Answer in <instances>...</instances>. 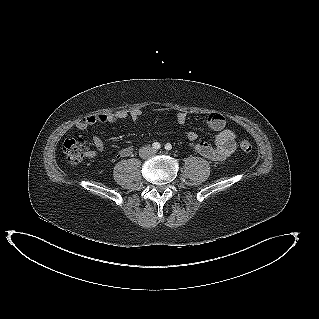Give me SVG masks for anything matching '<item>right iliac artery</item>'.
<instances>
[{"instance_id":"right-iliac-artery-1","label":"right iliac artery","mask_w":319,"mask_h":319,"mask_svg":"<svg viewBox=\"0 0 319 319\" xmlns=\"http://www.w3.org/2000/svg\"><path fill=\"white\" fill-rule=\"evenodd\" d=\"M152 146H153V148L156 149V150L160 149V147H161L160 143H158V142H154V143L152 144Z\"/></svg>"}]
</instances>
